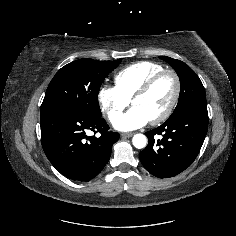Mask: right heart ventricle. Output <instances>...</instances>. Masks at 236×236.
<instances>
[{
	"label": "right heart ventricle",
	"mask_w": 236,
	"mask_h": 236,
	"mask_svg": "<svg viewBox=\"0 0 236 236\" xmlns=\"http://www.w3.org/2000/svg\"><path fill=\"white\" fill-rule=\"evenodd\" d=\"M163 69L162 65L147 61L127 66L115 75L116 88L125 98L130 100L150 77Z\"/></svg>",
	"instance_id": "e07e8e85"
}]
</instances>
